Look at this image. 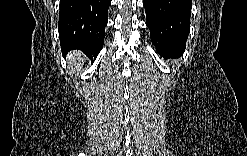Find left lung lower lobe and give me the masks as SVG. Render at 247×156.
<instances>
[{
	"instance_id": "0a47b994",
	"label": "left lung lower lobe",
	"mask_w": 247,
	"mask_h": 156,
	"mask_svg": "<svg viewBox=\"0 0 247 156\" xmlns=\"http://www.w3.org/2000/svg\"><path fill=\"white\" fill-rule=\"evenodd\" d=\"M152 44L167 58L180 57L190 29L191 0H143Z\"/></svg>"
}]
</instances>
